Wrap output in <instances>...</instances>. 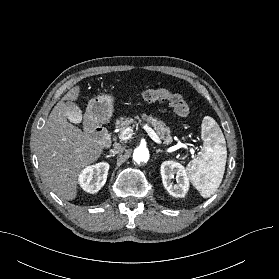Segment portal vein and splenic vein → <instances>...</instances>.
Wrapping results in <instances>:
<instances>
[{
    "mask_svg": "<svg viewBox=\"0 0 279 279\" xmlns=\"http://www.w3.org/2000/svg\"><path fill=\"white\" fill-rule=\"evenodd\" d=\"M143 128L145 129V131L148 133V135H149L155 142L161 143L160 138L158 137V135L155 133V131H154L151 127L145 125ZM132 132H133L132 127L126 128V129L119 135V139H120L121 141H126V140H128L129 138H131ZM190 152H191L192 154H194L195 151H194V149H190Z\"/></svg>",
    "mask_w": 279,
    "mask_h": 279,
    "instance_id": "obj_1",
    "label": "portal vein and splenic vein"
}]
</instances>
